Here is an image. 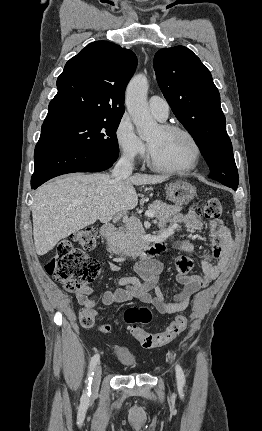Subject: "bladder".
Instances as JSON below:
<instances>
[{
  "label": "bladder",
  "mask_w": 262,
  "mask_h": 431,
  "mask_svg": "<svg viewBox=\"0 0 262 431\" xmlns=\"http://www.w3.org/2000/svg\"><path fill=\"white\" fill-rule=\"evenodd\" d=\"M118 356L123 364L134 365L136 363L134 353L126 346H118Z\"/></svg>",
  "instance_id": "1"
}]
</instances>
